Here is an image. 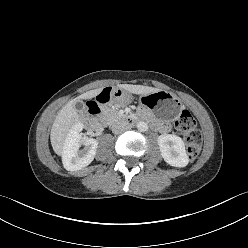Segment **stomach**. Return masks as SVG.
Instances as JSON below:
<instances>
[{
  "label": "stomach",
  "mask_w": 248,
  "mask_h": 248,
  "mask_svg": "<svg viewBox=\"0 0 248 248\" xmlns=\"http://www.w3.org/2000/svg\"><path fill=\"white\" fill-rule=\"evenodd\" d=\"M117 102L125 105L131 100L129 93L119 88L116 91ZM137 103L144 106L154 116L163 121H172L175 119L182 108L181 101L172 93L160 90L148 95H140Z\"/></svg>",
  "instance_id": "obj_1"
}]
</instances>
